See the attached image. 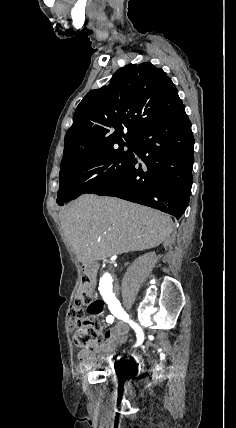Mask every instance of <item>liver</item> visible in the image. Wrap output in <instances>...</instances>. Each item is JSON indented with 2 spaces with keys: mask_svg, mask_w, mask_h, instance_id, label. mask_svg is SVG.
Here are the masks:
<instances>
[{
  "mask_svg": "<svg viewBox=\"0 0 236 428\" xmlns=\"http://www.w3.org/2000/svg\"><path fill=\"white\" fill-rule=\"evenodd\" d=\"M59 220L65 238L82 264L156 248L172 232L168 214L94 194H85L71 202L61 210Z\"/></svg>",
  "mask_w": 236,
  "mask_h": 428,
  "instance_id": "obj_1",
  "label": "liver"
}]
</instances>
